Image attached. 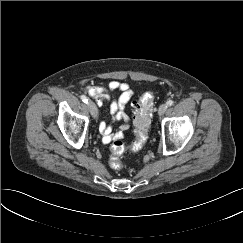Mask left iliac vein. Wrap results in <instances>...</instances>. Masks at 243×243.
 Masks as SVG:
<instances>
[{
	"label": "left iliac vein",
	"mask_w": 243,
	"mask_h": 243,
	"mask_svg": "<svg viewBox=\"0 0 243 243\" xmlns=\"http://www.w3.org/2000/svg\"><path fill=\"white\" fill-rule=\"evenodd\" d=\"M167 110V104H161L158 109V114L163 115Z\"/></svg>",
	"instance_id": "4c4485c4"
}]
</instances>
